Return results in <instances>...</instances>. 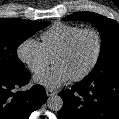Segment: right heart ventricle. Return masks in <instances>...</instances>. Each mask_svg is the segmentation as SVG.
<instances>
[{
    "label": "right heart ventricle",
    "mask_w": 119,
    "mask_h": 119,
    "mask_svg": "<svg viewBox=\"0 0 119 119\" xmlns=\"http://www.w3.org/2000/svg\"><path fill=\"white\" fill-rule=\"evenodd\" d=\"M80 29L82 28L78 25L56 23L41 35V43L47 54L53 59L70 37Z\"/></svg>",
    "instance_id": "e07e8e85"
}]
</instances>
